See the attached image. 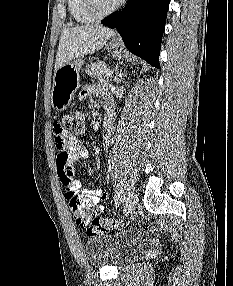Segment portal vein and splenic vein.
Instances as JSON below:
<instances>
[{
    "label": "portal vein and splenic vein",
    "instance_id": "1",
    "mask_svg": "<svg viewBox=\"0 0 233 286\" xmlns=\"http://www.w3.org/2000/svg\"><path fill=\"white\" fill-rule=\"evenodd\" d=\"M104 73H105L106 75H108V76H111V75L113 74V71L110 70V69H105V70H104Z\"/></svg>",
    "mask_w": 233,
    "mask_h": 286
}]
</instances>
